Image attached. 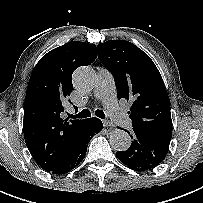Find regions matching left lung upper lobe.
Instances as JSON below:
<instances>
[{
	"label": "left lung upper lobe",
	"mask_w": 203,
	"mask_h": 203,
	"mask_svg": "<svg viewBox=\"0 0 203 203\" xmlns=\"http://www.w3.org/2000/svg\"><path fill=\"white\" fill-rule=\"evenodd\" d=\"M98 58L115 80L118 99L131 101L132 127L171 140L170 101L151 58L131 42L110 40L98 46Z\"/></svg>",
	"instance_id": "left-lung-upper-lobe-1"
}]
</instances>
